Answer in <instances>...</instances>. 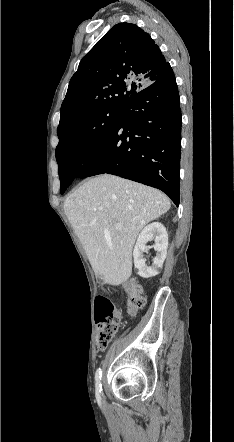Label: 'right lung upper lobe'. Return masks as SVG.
<instances>
[{
	"label": "right lung upper lobe",
	"mask_w": 234,
	"mask_h": 442,
	"mask_svg": "<svg viewBox=\"0 0 234 442\" xmlns=\"http://www.w3.org/2000/svg\"><path fill=\"white\" fill-rule=\"evenodd\" d=\"M169 65L150 35L135 24L113 26L80 61L60 110L58 136L80 118L119 107Z\"/></svg>",
	"instance_id": "cb5924a9"
}]
</instances>
